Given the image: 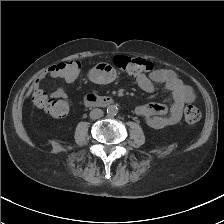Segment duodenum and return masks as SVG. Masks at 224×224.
I'll return each mask as SVG.
<instances>
[{
	"instance_id": "410a0bca",
	"label": "duodenum",
	"mask_w": 224,
	"mask_h": 224,
	"mask_svg": "<svg viewBox=\"0 0 224 224\" xmlns=\"http://www.w3.org/2000/svg\"><path fill=\"white\" fill-rule=\"evenodd\" d=\"M113 103H114V98L110 96H90L84 100L83 104L85 106L95 105V106L105 107V106H110Z\"/></svg>"
}]
</instances>
